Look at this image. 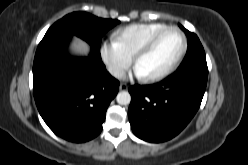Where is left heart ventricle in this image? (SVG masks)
Returning a JSON list of instances; mask_svg holds the SVG:
<instances>
[{
    "label": "left heart ventricle",
    "instance_id": "left-heart-ventricle-1",
    "mask_svg": "<svg viewBox=\"0 0 248 165\" xmlns=\"http://www.w3.org/2000/svg\"><path fill=\"white\" fill-rule=\"evenodd\" d=\"M182 47V38L176 31L163 34L152 49L142 56L138 62L146 76H151L163 71L177 57Z\"/></svg>",
    "mask_w": 248,
    "mask_h": 165
}]
</instances>
